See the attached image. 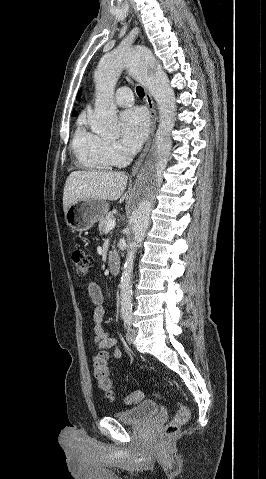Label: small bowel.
I'll list each match as a JSON object with an SVG mask.
<instances>
[{"mask_svg": "<svg viewBox=\"0 0 266 479\" xmlns=\"http://www.w3.org/2000/svg\"><path fill=\"white\" fill-rule=\"evenodd\" d=\"M88 293L89 296L95 305L93 311V321L95 323L94 326V334H95V342L98 348L104 350H113V356L115 359L121 358V351L117 346V341L113 337H111L108 333H106L102 326V320L104 318L105 309L103 306L104 296L102 290L99 285L94 282L89 283L88 285Z\"/></svg>", "mask_w": 266, "mask_h": 479, "instance_id": "small-bowel-1", "label": "small bowel"}]
</instances>
